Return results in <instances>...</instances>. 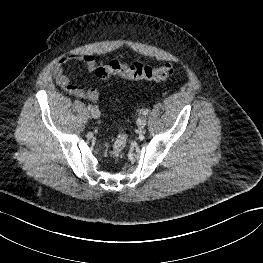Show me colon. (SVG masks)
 <instances>
[{
	"instance_id": "obj_1",
	"label": "colon",
	"mask_w": 263,
	"mask_h": 263,
	"mask_svg": "<svg viewBox=\"0 0 263 263\" xmlns=\"http://www.w3.org/2000/svg\"><path fill=\"white\" fill-rule=\"evenodd\" d=\"M173 73L174 66L171 63H164L153 67L141 63L125 64L117 60L99 66L95 70L96 76L100 79L119 76L128 80H147L154 82L163 81ZM127 140L128 137L126 132H119L110 148V155L112 157H118L124 151Z\"/></svg>"
}]
</instances>
